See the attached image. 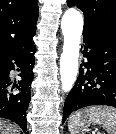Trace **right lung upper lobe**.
Instances as JSON below:
<instances>
[{"label":"right lung upper lobe","instance_id":"cb5924a9","mask_svg":"<svg viewBox=\"0 0 116 134\" xmlns=\"http://www.w3.org/2000/svg\"><path fill=\"white\" fill-rule=\"evenodd\" d=\"M37 0H0V58L33 39Z\"/></svg>","mask_w":116,"mask_h":134}]
</instances>
